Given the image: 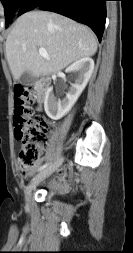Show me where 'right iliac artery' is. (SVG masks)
I'll list each match as a JSON object with an SVG mask.
<instances>
[{
  "mask_svg": "<svg viewBox=\"0 0 133 253\" xmlns=\"http://www.w3.org/2000/svg\"><path fill=\"white\" fill-rule=\"evenodd\" d=\"M49 165H50L49 163H46V164L42 165L38 170L42 171V170L46 169Z\"/></svg>",
  "mask_w": 133,
  "mask_h": 253,
  "instance_id": "obj_1",
  "label": "right iliac artery"
}]
</instances>
